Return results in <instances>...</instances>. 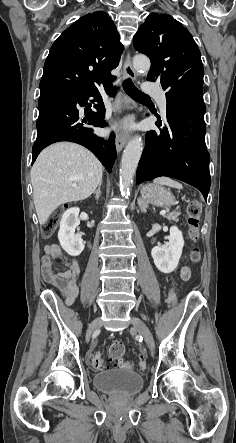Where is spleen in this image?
Returning a JSON list of instances; mask_svg holds the SVG:
<instances>
[{"label": "spleen", "instance_id": "1", "mask_svg": "<svg viewBox=\"0 0 236 443\" xmlns=\"http://www.w3.org/2000/svg\"><path fill=\"white\" fill-rule=\"evenodd\" d=\"M153 182H154V184L166 185V186L176 188L179 190L183 189V186L179 182H177L169 177H159V178H156Z\"/></svg>", "mask_w": 236, "mask_h": 443}]
</instances>
